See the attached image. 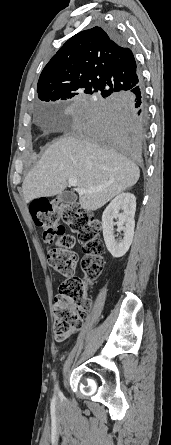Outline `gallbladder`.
Masks as SVG:
<instances>
[{"mask_svg":"<svg viewBox=\"0 0 171 445\" xmlns=\"http://www.w3.org/2000/svg\"><path fill=\"white\" fill-rule=\"evenodd\" d=\"M59 200L64 203H70L74 200V196L70 192L64 191L59 195Z\"/></svg>","mask_w":171,"mask_h":445,"instance_id":"1","label":"gallbladder"}]
</instances>
